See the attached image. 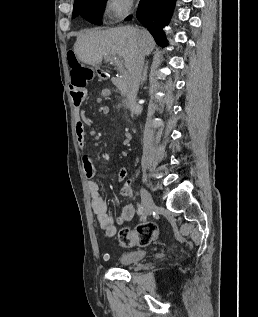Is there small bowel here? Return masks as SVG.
I'll return each mask as SVG.
<instances>
[{
    "mask_svg": "<svg viewBox=\"0 0 258 317\" xmlns=\"http://www.w3.org/2000/svg\"><path fill=\"white\" fill-rule=\"evenodd\" d=\"M86 126L87 119L81 112L75 119V132L78 144L81 148L86 145ZM84 173L88 179V189L91 196V207L99 226L105 231L106 236L113 237L117 232V225H123L130 221L135 214L133 203L123 206L121 214L114 220L109 214L106 201L103 199L99 184L95 181V167L90 157L84 155L82 159ZM127 169L122 167L117 174V180L123 181L127 177ZM120 192L123 196H130L132 189L129 182L123 183Z\"/></svg>",
    "mask_w": 258,
    "mask_h": 317,
    "instance_id": "c3829d8e",
    "label": "small bowel"
}]
</instances>
